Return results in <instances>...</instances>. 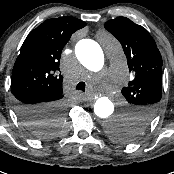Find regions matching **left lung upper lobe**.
Listing matches in <instances>:
<instances>
[{
	"mask_svg": "<svg viewBox=\"0 0 174 174\" xmlns=\"http://www.w3.org/2000/svg\"><path fill=\"white\" fill-rule=\"evenodd\" d=\"M105 28L121 43L131 78L122 89L135 108L141 123L147 122L162 96V58L150 34L125 17L105 23Z\"/></svg>",
	"mask_w": 174,
	"mask_h": 174,
	"instance_id": "5c2ea615",
	"label": "left lung upper lobe"
}]
</instances>
